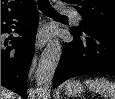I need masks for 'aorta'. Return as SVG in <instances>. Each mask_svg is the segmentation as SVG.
Segmentation results:
<instances>
[{
  "instance_id": "obj_1",
  "label": "aorta",
  "mask_w": 115,
  "mask_h": 99,
  "mask_svg": "<svg viewBox=\"0 0 115 99\" xmlns=\"http://www.w3.org/2000/svg\"><path fill=\"white\" fill-rule=\"evenodd\" d=\"M60 57L61 45L58 39H54L48 43L38 64L36 73L38 95L44 97L50 95V85Z\"/></svg>"
}]
</instances>
